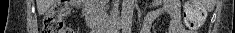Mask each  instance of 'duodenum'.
I'll return each instance as SVG.
<instances>
[{
	"mask_svg": "<svg viewBox=\"0 0 235 33\" xmlns=\"http://www.w3.org/2000/svg\"><path fill=\"white\" fill-rule=\"evenodd\" d=\"M86 22L92 33H101L103 30V22L98 8L93 1L86 2Z\"/></svg>",
	"mask_w": 235,
	"mask_h": 33,
	"instance_id": "1",
	"label": "duodenum"
}]
</instances>
